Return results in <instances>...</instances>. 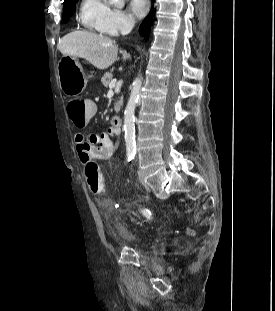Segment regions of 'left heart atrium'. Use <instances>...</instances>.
I'll return each instance as SVG.
<instances>
[{
	"label": "left heart atrium",
	"mask_w": 275,
	"mask_h": 311,
	"mask_svg": "<svg viewBox=\"0 0 275 311\" xmlns=\"http://www.w3.org/2000/svg\"><path fill=\"white\" fill-rule=\"evenodd\" d=\"M129 8L135 18H142L149 9L148 0H130Z\"/></svg>",
	"instance_id": "left-heart-atrium-1"
}]
</instances>
